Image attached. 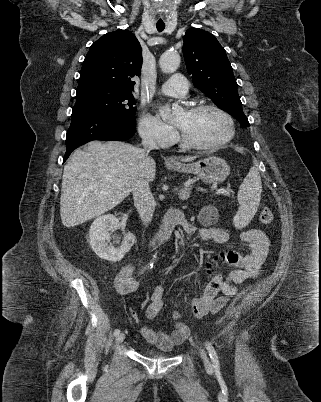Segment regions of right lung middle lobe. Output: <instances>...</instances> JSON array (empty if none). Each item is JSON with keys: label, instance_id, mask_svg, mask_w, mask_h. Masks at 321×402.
I'll return each mask as SVG.
<instances>
[{"label": "right lung middle lobe", "instance_id": "right-lung-middle-lobe-1", "mask_svg": "<svg viewBox=\"0 0 321 402\" xmlns=\"http://www.w3.org/2000/svg\"><path fill=\"white\" fill-rule=\"evenodd\" d=\"M132 92L99 85L78 86L72 118L98 116L108 118H135L136 107Z\"/></svg>", "mask_w": 321, "mask_h": 402}]
</instances>
